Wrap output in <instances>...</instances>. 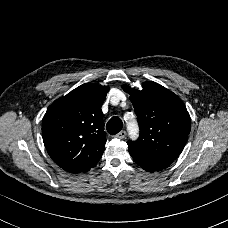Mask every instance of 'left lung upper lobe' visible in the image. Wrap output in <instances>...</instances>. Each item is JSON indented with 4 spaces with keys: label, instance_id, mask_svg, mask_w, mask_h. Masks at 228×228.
<instances>
[{
    "label": "left lung upper lobe",
    "instance_id": "left-lung-upper-lobe-1",
    "mask_svg": "<svg viewBox=\"0 0 228 228\" xmlns=\"http://www.w3.org/2000/svg\"><path fill=\"white\" fill-rule=\"evenodd\" d=\"M142 90L123 85L130 95L140 127L129 140L133 160L149 172L161 171L181 154L190 132V116L182 100L165 87L147 81Z\"/></svg>",
    "mask_w": 228,
    "mask_h": 228
}]
</instances>
